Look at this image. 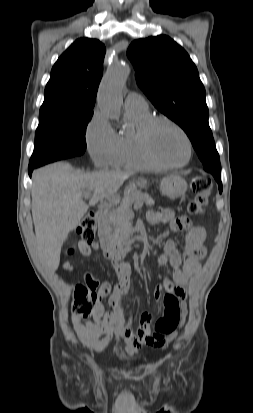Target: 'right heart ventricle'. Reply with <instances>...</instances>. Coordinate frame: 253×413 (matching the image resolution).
<instances>
[{
  "label": "right heart ventricle",
  "instance_id": "e07e8e85",
  "mask_svg": "<svg viewBox=\"0 0 253 413\" xmlns=\"http://www.w3.org/2000/svg\"><path fill=\"white\" fill-rule=\"evenodd\" d=\"M126 119L131 125V130L117 134L118 142L113 154L111 165L116 168L153 169L155 168L142 154L138 143V130L140 126L151 117L148 110H126Z\"/></svg>",
  "mask_w": 253,
  "mask_h": 413
}]
</instances>
